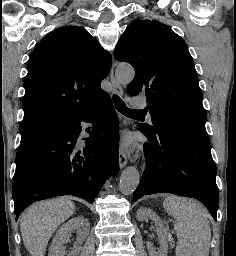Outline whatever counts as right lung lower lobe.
I'll use <instances>...</instances> for the list:
<instances>
[{
	"label": "right lung lower lobe",
	"mask_w": 236,
	"mask_h": 256,
	"mask_svg": "<svg viewBox=\"0 0 236 256\" xmlns=\"http://www.w3.org/2000/svg\"><path fill=\"white\" fill-rule=\"evenodd\" d=\"M84 121L88 138L78 139ZM119 122L110 97L21 142L13 179L14 213L31 203L75 195L93 203L106 179L119 171Z\"/></svg>",
	"instance_id": "98d812e1"
}]
</instances>
